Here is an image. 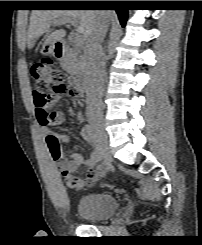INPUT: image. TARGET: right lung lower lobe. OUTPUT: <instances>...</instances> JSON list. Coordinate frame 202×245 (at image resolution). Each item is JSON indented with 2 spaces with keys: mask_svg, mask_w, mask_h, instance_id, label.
Listing matches in <instances>:
<instances>
[{
  "mask_svg": "<svg viewBox=\"0 0 202 245\" xmlns=\"http://www.w3.org/2000/svg\"><path fill=\"white\" fill-rule=\"evenodd\" d=\"M84 6L114 7L118 14L121 25L124 27L128 17V10L124 8L123 1H88Z\"/></svg>",
  "mask_w": 202,
  "mask_h": 245,
  "instance_id": "obj_1",
  "label": "right lung lower lobe"
}]
</instances>
